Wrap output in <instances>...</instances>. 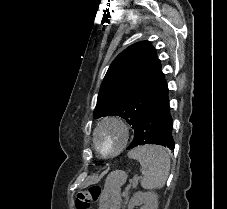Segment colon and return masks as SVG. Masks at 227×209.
Returning <instances> with one entry per match:
<instances>
[{
    "label": "colon",
    "mask_w": 227,
    "mask_h": 209,
    "mask_svg": "<svg viewBox=\"0 0 227 209\" xmlns=\"http://www.w3.org/2000/svg\"><path fill=\"white\" fill-rule=\"evenodd\" d=\"M100 194L101 188L95 185L79 190L75 198V209H91L92 204L98 201Z\"/></svg>",
    "instance_id": "1"
}]
</instances>
